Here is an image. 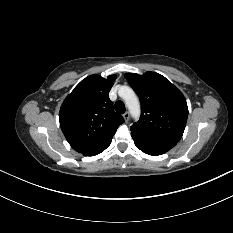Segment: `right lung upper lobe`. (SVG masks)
<instances>
[{"instance_id": "obj_1", "label": "right lung upper lobe", "mask_w": 233, "mask_h": 233, "mask_svg": "<svg viewBox=\"0 0 233 233\" xmlns=\"http://www.w3.org/2000/svg\"><path fill=\"white\" fill-rule=\"evenodd\" d=\"M116 79L96 74L86 77L64 100L59 121L63 134L77 152L95 149L112 139L124 122L114 112L109 91Z\"/></svg>"}]
</instances>
